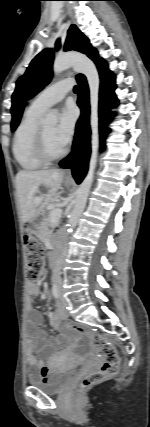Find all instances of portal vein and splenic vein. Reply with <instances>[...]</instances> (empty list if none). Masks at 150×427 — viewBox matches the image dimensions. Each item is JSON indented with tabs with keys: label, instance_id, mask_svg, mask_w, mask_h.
I'll return each mask as SVG.
<instances>
[{
	"label": "portal vein and splenic vein",
	"instance_id": "obj_1",
	"mask_svg": "<svg viewBox=\"0 0 150 427\" xmlns=\"http://www.w3.org/2000/svg\"><path fill=\"white\" fill-rule=\"evenodd\" d=\"M34 200H35V203L39 204L43 200V197L42 196H37V197H35ZM61 214H62V210L60 208L52 209L51 212H50V214H49V220H50V222L51 223L58 222V220L61 217Z\"/></svg>",
	"mask_w": 150,
	"mask_h": 427
}]
</instances>
